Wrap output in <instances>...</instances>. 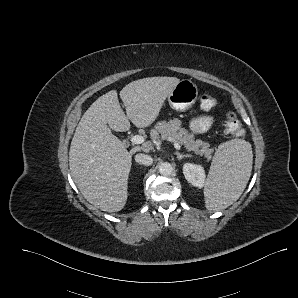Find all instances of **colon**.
<instances>
[{
  "mask_svg": "<svg viewBox=\"0 0 298 298\" xmlns=\"http://www.w3.org/2000/svg\"><path fill=\"white\" fill-rule=\"evenodd\" d=\"M199 100H200L201 108L204 110L211 109L212 107L215 106V103H216L215 98L209 92H202L200 94ZM223 124L228 134L236 137H240L244 135L243 126L233 112H229L226 114Z\"/></svg>",
  "mask_w": 298,
  "mask_h": 298,
  "instance_id": "obj_1",
  "label": "colon"
}]
</instances>
